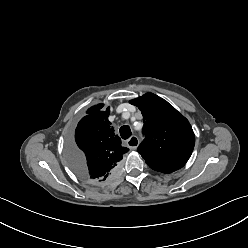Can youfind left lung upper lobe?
Returning <instances> with one entry per match:
<instances>
[{
  "mask_svg": "<svg viewBox=\"0 0 248 248\" xmlns=\"http://www.w3.org/2000/svg\"><path fill=\"white\" fill-rule=\"evenodd\" d=\"M143 115L144 141L137 151L158 172L172 173L191 156L195 135L188 120L161 97L146 93L130 101Z\"/></svg>",
  "mask_w": 248,
  "mask_h": 248,
  "instance_id": "5c2ea615",
  "label": "left lung upper lobe"
}]
</instances>
